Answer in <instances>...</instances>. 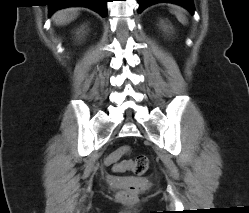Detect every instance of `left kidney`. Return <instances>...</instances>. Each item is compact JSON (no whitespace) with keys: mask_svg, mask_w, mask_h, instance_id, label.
Returning <instances> with one entry per match:
<instances>
[{"mask_svg":"<svg viewBox=\"0 0 249 213\" xmlns=\"http://www.w3.org/2000/svg\"><path fill=\"white\" fill-rule=\"evenodd\" d=\"M161 26L164 29V31L169 30V28L171 29V27L169 25H166L163 21H161Z\"/></svg>","mask_w":249,"mask_h":213,"instance_id":"left-kidney-1","label":"left kidney"}]
</instances>
